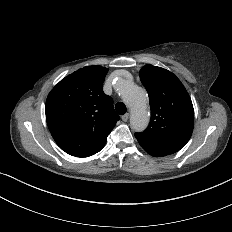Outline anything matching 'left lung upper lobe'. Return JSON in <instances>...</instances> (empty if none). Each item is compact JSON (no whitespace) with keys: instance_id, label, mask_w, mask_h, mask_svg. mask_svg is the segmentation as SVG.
I'll return each instance as SVG.
<instances>
[{"instance_id":"left-lung-upper-lobe-1","label":"left lung upper lobe","mask_w":232,"mask_h":232,"mask_svg":"<svg viewBox=\"0 0 232 232\" xmlns=\"http://www.w3.org/2000/svg\"><path fill=\"white\" fill-rule=\"evenodd\" d=\"M151 108V121L135 137L179 151L192 135L194 109L189 94L180 80L170 71L146 65L140 70Z\"/></svg>"}]
</instances>
